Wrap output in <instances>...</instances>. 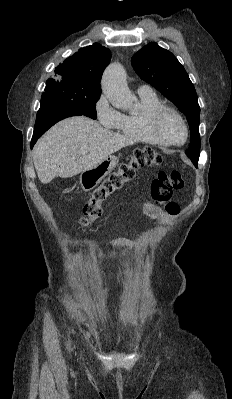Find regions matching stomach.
<instances>
[{
  "instance_id": "1",
  "label": "stomach",
  "mask_w": 232,
  "mask_h": 399,
  "mask_svg": "<svg viewBox=\"0 0 232 399\" xmlns=\"http://www.w3.org/2000/svg\"><path fill=\"white\" fill-rule=\"evenodd\" d=\"M118 164V158L116 156H108L105 160H102L100 164L91 168V170H85L80 176V184L84 192L93 190L95 186L100 184L101 180H104Z\"/></svg>"
}]
</instances>
